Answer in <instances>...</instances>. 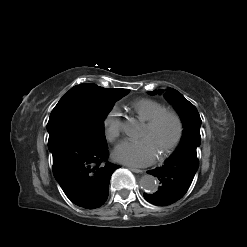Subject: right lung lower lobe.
Listing matches in <instances>:
<instances>
[{
	"label": "right lung lower lobe",
	"mask_w": 247,
	"mask_h": 247,
	"mask_svg": "<svg viewBox=\"0 0 247 247\" xmlns=\"http://www.w3.org/2000/svg\"><path fill=\"white\" fill-rule=\"evenodd\" d=\"M53 174L66 196L77 206L95 209L104 204L109 181L118 165L106 162L107 146H96L65 132L49 134Z\"/></svg>",
	"instance_id": "1"
}]
</instances>
